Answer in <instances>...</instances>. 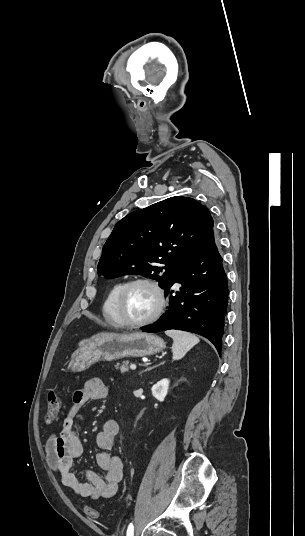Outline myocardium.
<instances>
[{"label":"myocardium","mask_w":305,"mask_h":536,"mask_svg":"<svg viewBox=\"0 0 305 536\" xmlns=\"http://www.w3.org/2000/svg\"><path fill=\"white\" fill-rule=\"evenodd\" d=\"M136 284H145L151 287L157 295L158 304H157V308L155 309V311L152 312L149 316H147L143 320L130 322L124 318L123 301H124L125 294L129 290V288ZM115 307H116L117 316L121 320V326L127 327V328H140V327L150 324L163 313L166 307V296H165L162 286L155 279L150 278V277H135L126 281L123 284V286L120 288L116 297Z\"/></svg>","instance_id":"f54148a6"}]
</instances>
